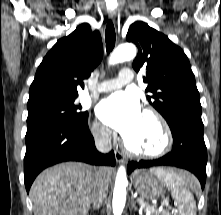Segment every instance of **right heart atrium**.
I'll return each instance as SVG.
<instances>
[{
    "mask_svg": "<svg viewBox=\"0 0 221 215\" xmlns=\"http://www.w3.org/2000/svg\"><path fill=\"white\" fill-rule=\"evenodd\" d=\"M91 132L94 138L101 143H108L111 139V132L98 121L91 124Z\"/></svg>",
    "mask_w": 221,
    "mask_h": 215,
    "instance_id": "d8ad5b80",
    "label": "right heart atrium"
}]
</instances>
